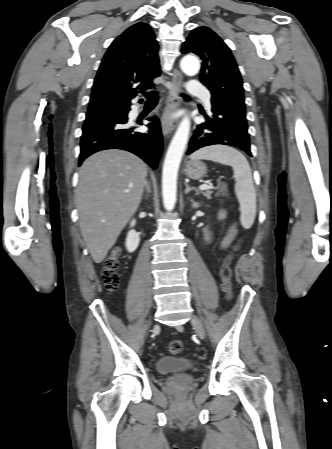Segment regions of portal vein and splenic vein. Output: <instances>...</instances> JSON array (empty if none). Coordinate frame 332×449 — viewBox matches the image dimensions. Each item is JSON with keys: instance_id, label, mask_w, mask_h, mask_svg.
Masks as SVG:
<instances>
[{"instance_id": "1", "label": "portal vein and splenic vein", "mask_w": 332, "mask_h": 449, "mask_svg": "<svg viewBox=\"0 0 332 449\" xmlns=\"http://www.w3.org/2000/svg\"><path fill=\"white\" fill-rule=\"evenodd\" d=\"M209 188H211V187L209 185H207V184H202V185L199 186L200 190H206V189H209ZM125 192H129V190H126Z\"/></svg>"}]
</instances>
